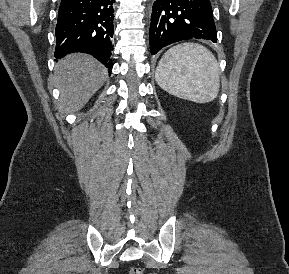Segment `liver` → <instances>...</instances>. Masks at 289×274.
<instances>
[{
  "label": "liver",
  "instance_id": "liver-1",
  "mask_svg": "<svg viewBox=\"0 0 289 274\" xmlns=\"http://www.w3.org/2000/svg\"><path fill=\"white\" fill-rule=\"evenodd\" d=\"M107 70L87 54L74 53L55 67L54 81L60 91V111L77 112L103 86Z\"/></svg>",
  "mask_w": 289,
  "mask_h": 274
}]
</instances>
